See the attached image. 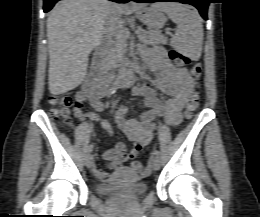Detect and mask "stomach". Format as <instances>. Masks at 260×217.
<instances>
[{"instance_id": "stomach-1", "label": "stomach", "mask_w": 260, "mask_h": 217, "mask_svg": "<svg viewBox=\"0 0 260 217\" xmlns=\"http://www.w3.org/2000/svg\"><path fill=\"white\" fill-rule=\"evenodd\" d=\"M135 13L145 25L153 30L162 28L166 22V18L163 13L153 6H139L135 9Z\"/></svg>"}]
</instances>
